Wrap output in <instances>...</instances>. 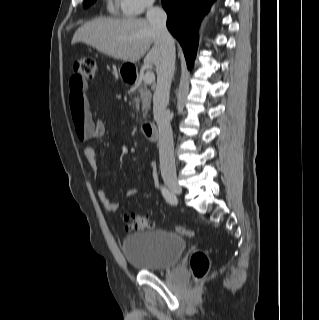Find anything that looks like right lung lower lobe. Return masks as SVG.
Instances as JSON below:
<instances>
[{"label":"right lung lower lobe","instance_id":"right-lung-lower-lobe-1","mask_svg":"<svg viewBox=\"0 0 319 320\" xmlns=\"http://www.w3.org/2000/svg\"><path fill=\"white\" fill-rule=\"evenodd\" d=\"M215 0H162L167 27L180 42L187 66L192 68L198 47V28L203 14Z\"/></svg>","mask_w":319,"mask_h":320}]
</instances>
